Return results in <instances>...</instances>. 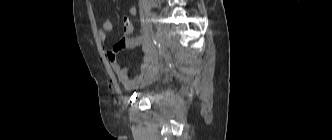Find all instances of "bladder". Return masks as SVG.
<instances>
[{"label": "bladder", "mask_w": 332, "mask_h": 140, "mask_svg": "<svg viewBox=\"0 0 332 140\" xmlns=\"http://www.w3.org/2000/svg\"><path fill=\"white\" fill-rule=\"evenodd\" d=\"M153 80H151L150 82L147 83V85H152L153 84Z\"/></svg>", "instance_id": "bladder-1"}]
</instances>
